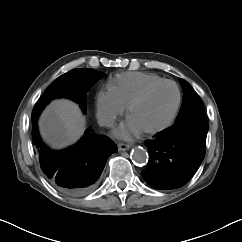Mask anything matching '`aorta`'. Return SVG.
Masks as SVG:
<instances>
[{
	"label": "aorta",
	"mask_w": 242,
	"mask_h": 242,
	"mask_svg": "<svg viewBox=\"0 0 242 242\" xmlns=\"http://www.w3.org/2000/svg\"><path fill=\"white\" fill-rule=\"evenodd\" d=\"M131 158L136 163H145L148 160V153L142 147H135L131 151Z\"/></svg>",
	"instance_id": "762f6f07"
}]
</instances>
